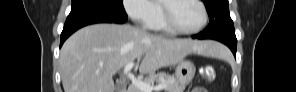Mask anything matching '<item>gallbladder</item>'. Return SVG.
<instances>
[{
    "instance_id": "1",
    "label": "gallbladder",
    "mask_w": 296,
    "mask_h": 92,
    "mask_svg": "<svg viewBox=\"0 0 296 92\" xmlns=\"http://www.w3.org/2000/svg\"><path fill=\"white\" fill-rule=\"evenodd\" d=\"M123 89H124V85L123 84H120V83H117L116 84V86H115L116 92H120Z\"/></svg>"
}]
</instances>
